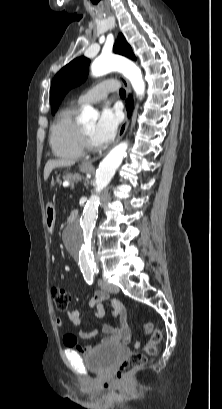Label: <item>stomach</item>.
I'll list each match as a JSON object with an SVG mask.
<instances>
[{"label": "stomach", "instance_id": "stomach-1", "mask_svg": "<svg viewBox=\"0 0 222 409\" xmlns=\"http://www.w3.org/2000/svg\"><path fill=\"white\" fill-rule=\"evenodd\" d=\"M80 171L83 173H89L91 171V167L81 165ZM52 184H54V181L52 182ZM55 219H56L55 207L52 204H48L46 206V226L49 231L53 230Z\"/></svg>", "mask_w": 222, "mask_h": 409}]
</instances>
